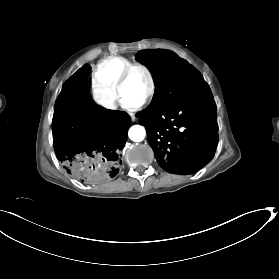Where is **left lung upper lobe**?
Masks as SVG:
<instances>
[{
    "label": "left lung upper lobe",
    "mask_w": 279,
    "mask_h": 279,
    "mask_svg": "<svg viewBox=\"0 0 279 279\" xmlns=\"http://www.w3.org/2000/svg\"><path fill=\"white\" fill-rule=\"evenodd\" d=\"M136 58L148 67L155 82L153 100L142 111L145 115L156 114L205 85L203 77L171 51L144 50Z\"/></svg>",
    "instance_id": "obj_1"
}]
</instances>
